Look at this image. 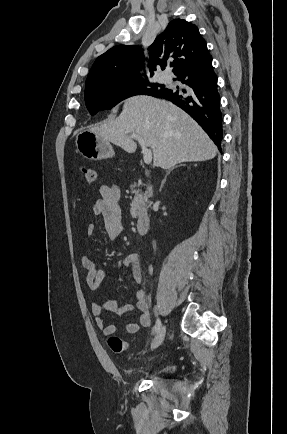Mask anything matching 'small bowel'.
Returning <instances> with one entry per match:
<instances>
[{
  "mask_svg": "<svg viewBox=\"0 0 287 434\" xmlns=\"http://www.w3.org/2000/svg\"><path fill=\"white\" fill-rule=\"evenodd\" d=\"M100 198L96 200L93 206V213L103 220L104 231L108 241L118 239L124 231L122 209L120 205L119 191L115 186L102 185L99 188ZM95 232L94 224H89L86 227L88 236H92ZM82 267L87 270L86 282L91 290H96L102 282L111 273L101 265H98L91 258L82 256ZM116 268H130L132 278L135 284L140 285L143 279L142 266L139 256L136 253H129L124 258L115 262ZM139 311L138 322H128L125 326L126 333L129 335L136 334L141 327H149L151 325V316L149 313L146 294L143 289H138L135 294V304H122L118 299L108 300L104 303L91 302L90 309L96 317L97 326L103 330L105 336L115 334L117 327L114 324H107L101 316L104 312H111L118 316L124 315L134 308Z\"/></svg>",
  "mask_w": 287,
  "mask_h": 434,
  "instance_id": "obj_1",
  "label": "small bowel"
}]
</instances>
